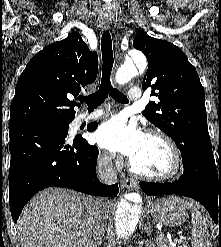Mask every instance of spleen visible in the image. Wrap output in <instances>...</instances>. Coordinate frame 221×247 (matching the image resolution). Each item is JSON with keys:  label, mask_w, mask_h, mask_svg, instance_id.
I'll return each mask as SVG.
<instances>
[{"label": "spleen", "mask_w": 221, "mask_h": 247, "mask_svg": "<svg viewBox=\"0 0 221 247\" xmlns=\"http://www.w3.org/2000/svg\"><path fill=\"white\" fill-rule=\"evenodd\" d=\"M187 208L191 209L192 217V246L193 247H212L209 241V234L207 232L206 221L196 208L192 207V204L187 202Z\"/></svg>", "instance_id": "3e777b00"}]
</instances>
